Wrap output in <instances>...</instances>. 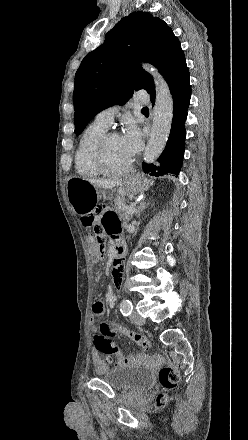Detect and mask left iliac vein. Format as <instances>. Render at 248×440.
I'll use <instances>...</instances> for the list:
<instances>
[{
	"label": "left iliac vein",
	"mask_w": 248,
	"mask_h": 440,
	"mask_svg": "<svg viewBox=\"0 0 248 440\" xmlns=\"http://www.w3.org/2000/svg\"><path fill=\"white\" fill-rule=\"evenodd\" d=\"M130 320L132 323L136 324V325H143L145 323V319L139 315L137 312H133L130 315Z\"/></svg>",
	"instance_id": "left-iliac-vein-1"
}]
</instances>
